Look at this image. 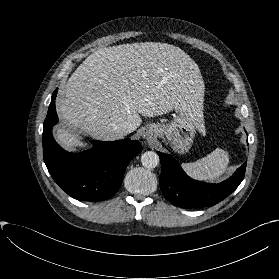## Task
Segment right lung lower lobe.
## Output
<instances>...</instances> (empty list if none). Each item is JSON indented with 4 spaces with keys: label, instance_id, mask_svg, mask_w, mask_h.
Returning <instances> with one entry per match:
<instances>
[{
    "label": "right lung lower lobe",
    "instance_id": "1",
    "mask_svg": "<svg viewBox=\"0 0 279 279\" xmlns=\"http://www.w3.org/2000/svg\"><path fill=\"white\" fill-rule=\"evenodd\" d=\"M56 89L43 124V157L54 181L71 197L82 201H104L120 188L129 162L142 151L139 141H92L93 148L79 154L61 148L53 138L58 122Z\"/></svg>",
    "mask_w": 279,
    "mask_h": 279
}]
</instances>
